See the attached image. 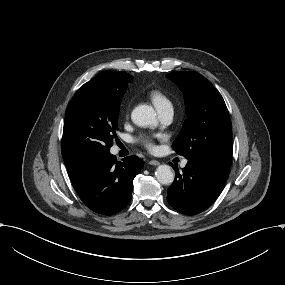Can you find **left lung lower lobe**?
<instances>
[{"instance_id": "obj_1", "label": "left lung lower lobe", "mask_w": 285, "mask_h": 285, "mask_svg": "<svg viewBox=\"0 0 285 285\" xmlns=\"http://www.w3.org/2000/svg\"><path fill=\"white\" fill-rule=\"evenodd\" d=\"M167 190L168 203L178 212L196 215L208 207L221 193L229 166L214 161L188 160Z\"/></svg>"}]
</instances>
